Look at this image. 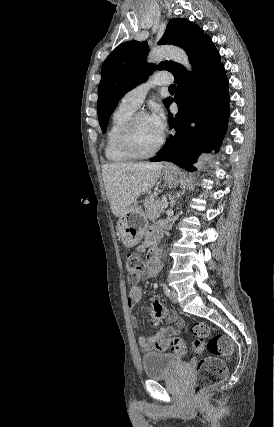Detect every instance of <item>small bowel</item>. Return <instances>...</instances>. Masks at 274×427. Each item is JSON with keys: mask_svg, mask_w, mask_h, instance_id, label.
<instances>
[{"mask_svg": "<svg viewBox=\"0 0 274 427\" xmlns=\"http://www.w3.org/2000/svg\"><path fill=\"white\" fill-rule=\"evenodd\" d=\"M164 231V225L163 224H156L153 225L149 232L148 236L145 239L143 243V247H148L149 245L156 242L157 239L162 235ZM159 271V263L151 264L148 262L146 266L145 271V278H151L157 275ZM142 302V291L139 285H134L130 288L128 295H127V305L130 309L135 308ZM153 308H149L150 310L153 309V311L147 312V319L150 320L151 326H156L157 323L161 326L167 325V320L171 323H175L176 327H163L161 328L156 334L153 336H145V335H139L137 338V344L139 349L142 352H150L155 348L156 343L163 339V338H170L174 336H178L181 333V330L184 326V320L181 316L170 313L166 309V305L163 303L162 300H153L152 301ZM162 313H164V317L167 319H161ZM173 315L171 318H169L170 315ZM157 320H160V322ZM131 324L132 326L137 329L139 326L138 320L136 317L131 318Z\"/></svg>", "mask_w": 274, "mask_h": 427, "instance_id": "c3829d8e", "label": "small bowel"}]
</instances>
